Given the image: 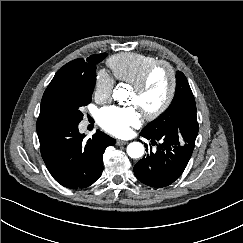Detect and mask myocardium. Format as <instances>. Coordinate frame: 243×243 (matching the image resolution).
<instances>
[{
  "label": "myocardium",
  "instance_id": "myocardium-1",
  "mask_svg": "<svg viewBox=\"0 0 243 243\" xmlns=\"http://www.w3.org/2000/svg\"><path fill=\"white\" fill-rule=\"evenodd\" d=\"M158 67H164L168 72V88L159 102L149 108L142 110L146 117L154 116L164 110L173 99L176 89V72L173 66L165 60H156L145 67L137 79L131 83L132 88L137 92H141L146 86L151 73Z\"/></svg>",
  "mask_w": 243,
  "mask_h": 243
}]
</instances>
